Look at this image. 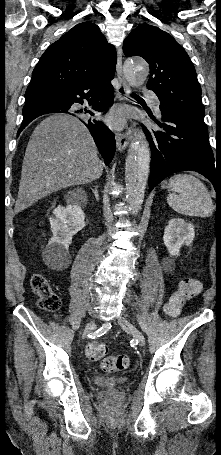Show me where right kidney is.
Here are the masks:
<instances>
[{
  "mask_svg": "<svg viewBox=\"0 0 221 455\" xmlns=\"http://www.w3.org/2000/svg\"><path fill=\"white\" fill-rule=\"evenodd\" d=\"M85 215L79 205L58 206L50 217L53 236L43 251L46 262L61 267L69 262L72 237L85 227Z\"/></svg>",
  "mask_w": 221,
  "mask_h": 455,
  "instance_id": "right-kidney-1",
  "label": "right kidney"
}]
</instances>
